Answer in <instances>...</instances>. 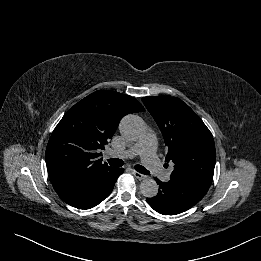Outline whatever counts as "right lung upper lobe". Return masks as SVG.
Listing matches in <instances>:
<instances>
[{
	"label": "right lung upper lobe",
	"instance_id": "1",
	"mask_svg": "<svg viewBox=\"0 0 261 261\" xmlns=\"http://www.w3.org/2000/svg\"><path fill=\"white\" fill-rule=\"evenodd\" d=\"M133 97L98 90L75 104L54 129L46 148V165L57 193L86 183L108 171L99 159L120 119L143 112Z\"/></svg>",
	"mask_w": 261,
	"mask_h": 261
}]
</instances>
